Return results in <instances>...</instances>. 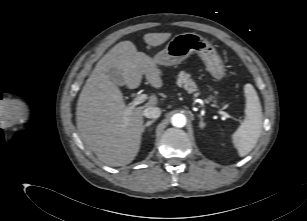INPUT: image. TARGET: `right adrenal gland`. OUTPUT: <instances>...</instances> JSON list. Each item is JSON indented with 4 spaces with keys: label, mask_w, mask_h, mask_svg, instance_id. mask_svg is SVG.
Masks as SVG:
<instances>
[{
    "label": "right adrenal gland",
    "mask_w": 307,
    "mask_h": 221,
    "mask_svg": "<svg viewBox=\"0 0 307 221\" xmlns=\"http://www.w3.org/2000/svg\"><path fill=\"white\" fill-rule=\"evenodd\" d=\"M154 122H155V120L147 121V122L143 125L142 132H144L145 129H146L147 127L150 128V126H151ZM149 131H151V129H149Z\"/></svg>",
    "instance_id": "right-adrenal-gland-1"
}]
</instances>
